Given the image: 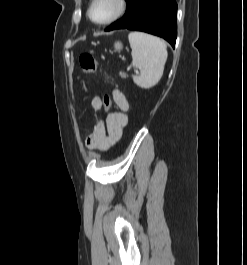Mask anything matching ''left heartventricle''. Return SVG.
<instances>
[{
    "mask_svg": "<svg viewBox=\"0 0 247 265\" xmlns=\"http://www.w3.org/2000/svg\"><path fill=\"white\" fill-rule=\"evenodd\" d=\"M116 6L113 0H98L95 4L92 15L97 21H102L107 19L115 11Z\"/></svg>",
    "mask_w": 247,
    "mask_h": 265,
    "instance_id": "1",
    "label": "left heart ventricle"
}]
</instances>
